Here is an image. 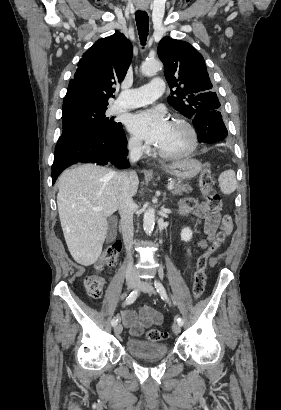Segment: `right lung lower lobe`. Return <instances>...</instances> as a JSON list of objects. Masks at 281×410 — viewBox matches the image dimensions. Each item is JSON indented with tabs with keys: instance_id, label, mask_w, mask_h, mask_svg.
<instances>
[{
	"instance_id": "obj_1",
	"label": "right lung lower lobe",
	"mask_w": 281,
	"mask_h": 410,
	"mask_svg": "<svg viewBox=\"0 0 281 410\" xmlns=\"http://www.w3.org/2000/svg\"><path fill=\"white\" fill-rule=\"evenodd\" d=\"M127 139L123 128L108 135H86L57 144L52 165V183L67 167L78 162H94L99 165L113 164L128 168L126 160Z\"/></svg>"
}]
</instances>
